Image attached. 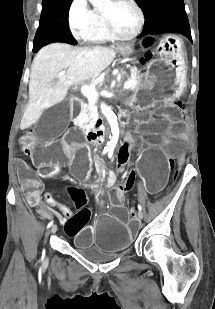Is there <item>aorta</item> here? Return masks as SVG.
<instances>
[{
  "label": "aorta",
  "mask_w": 215,
  "mask_h": 309,
  "mask_svg": "<svg viewBox=\"0 0 215 309\" xmlns=\"http://www.w3.org/2000/svg\"><path fill=\"white\" fill-rule=\"evenodd\" d=\"M92 6H96V8H108V6H111L112 4V0H90ZM101 106V110L104 114V116H106L110 126H111V130H112V138L110 140V142H107V146L108 148H115L117 142H118V138H119V124H118V120L115 116V112H113V110H111L110 106H108V104H105V102H102V104H100Z\"/></svg>",
  "instance_id": "762f6f07"
}]
</instances>
